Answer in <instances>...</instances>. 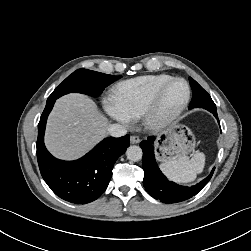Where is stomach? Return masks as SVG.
<instances>
[{
	"label": "stomach",
	"instance_id": "0dacf381",
	"mask_svg": "<svg viewBox=\"0 0 251 251\" xmlns=\"http://www.w3.org/2000/svg\"><path fill=\"white\" fill-rule=\"evenodd\" d=\"M195 147V138L184 125H174L160 134L156 141L157 159L170 161L191 152Z\"/></svg>",
	"mask_w": 251,
	"mask_h": 251
}]
</instances>
